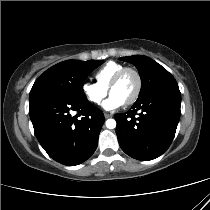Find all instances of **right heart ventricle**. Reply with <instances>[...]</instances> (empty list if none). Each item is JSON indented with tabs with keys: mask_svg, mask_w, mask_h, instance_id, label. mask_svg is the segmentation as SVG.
Here are the masks:
<instances>
[{
	"mask_svg": "<svg viewBox=\"0 0 210 210\" xmlns=\"http://www.w3.org/2000/svg\"><path fill=\"white\" fill-rule=\"evenodd\" d=\"M124 67L125 66L123 64L114 61H109L105 63L95 72L94 77L96 79V83L100 87L108 89L116 73Z\"/></svg>",
	"mask_w": 210,
	"mask_h": 210,
	"instance_id": "e07e8e85",
	"label": "right heart ventricle"
}]
</instances>
